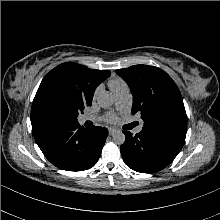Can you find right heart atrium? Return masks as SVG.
I'll use <instances>...</instances> for the list:
<instances>
[{"label":"right heart atrium","instance_id":"d8ad5b80","mask_svg":"<svg viewBox=\"0 0 220 220\" xmlns=\"http://www.w3.org/2000/svg\"><path fill=\"white\" fill-rule=\"evenodd\" d=\"M98 91H99V88H96V90L94 91V94H93L94 98L97 96Z\"/></svg>","mask_w":220,"mask_h":220}]
</instances>
